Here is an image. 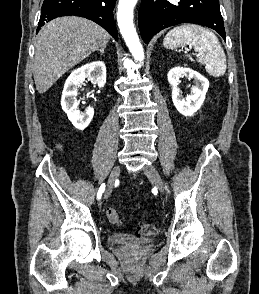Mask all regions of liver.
Masks as SVG:
<instances>
[{"instance_id":"6515ba94","label":"liver","mask_w":259,"mask_h":294,"mask_svg":"<svg viewBox=\"0 0 259 294\" xmlns=\"http://www.w3.org/2000/svg\"><path fill=\"white\" fill-rule=\"evenodd\" d=\"M109 33L96 23L75 16L56 18L37 36L33 76L37 91L45 93L66 71L107 45Z\"/></svg>"}]
</instances>
